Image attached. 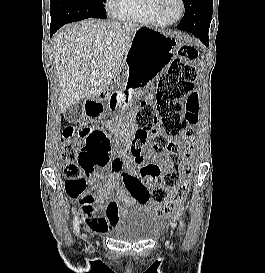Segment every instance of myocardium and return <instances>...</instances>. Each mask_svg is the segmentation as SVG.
I'll use <instances>...</instances> for the list:
<instances>
[{"mask_svg":"<svg viewBox=\"0 0 265 273\" xmlns=\"http://www.w3.org/2000/svg\"><path fill=\"white\" fill-rule=\"evenodd\" d=\"M181 4V13L177 19H169L164 13V3L165 0H156V11L161 19H163L168 24H174L181 21L186 13V4L184 0H179Z\"/></svg>","mask_w":265,"mask_h":273,"instance_id":"myocardium-1","label":"myocardium"}]
</instances>
